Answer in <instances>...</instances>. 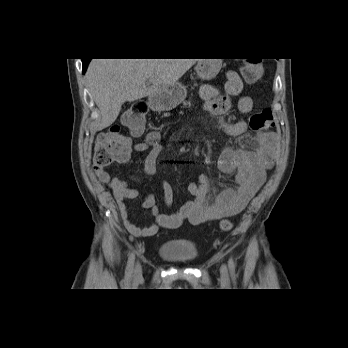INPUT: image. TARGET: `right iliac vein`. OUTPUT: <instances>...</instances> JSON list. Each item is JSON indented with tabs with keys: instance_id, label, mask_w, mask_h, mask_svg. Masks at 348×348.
Here are the masks:
<instances>
[{
	"instance_id": "1",
	"label": "right iliac vein",
	"mask_w": 348,
	"mask_h": 348,
	"mask_svg": "<svg viewBox=\"0 0 348 348\" xmlns=\"http://www.w3.org/2000/svg\"><path fill=\"white\" fill-rule=\"evenodd\" d=\"M135 279H139L141 276V266L137 264L134 270Z\"/></svg>"
}]
</instances>
